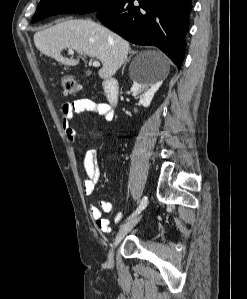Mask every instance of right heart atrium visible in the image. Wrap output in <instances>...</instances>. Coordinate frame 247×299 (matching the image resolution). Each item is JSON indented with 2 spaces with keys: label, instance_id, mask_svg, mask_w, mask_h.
I'll return each mask as SVG.
<instances>
[{
  "label": "right heart atrium",
  "instance_id": "obj_1",
  "mask_svg": "<svg viewBox=\"0 0 247 299\" xmlns=\"http://www.w3.org/2000/svg\"><path fill=\"white\" fill-rule=\"evenodd\" d=\"M88 1H90V0H80V2H88Z\"/></svg>",
  "mask_w": 247,
  "mask_h": 299
}]
</instances>
